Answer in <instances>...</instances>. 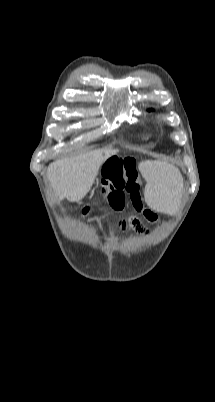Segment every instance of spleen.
Wrapping results in <instances>:
<instances>
[{"label": "spleen", "instance_id": "1", "mask_svg": "<svg viewBox=\"0 0 215 402\" xmlns=\"http://www.w3.org/2000/svg\"><path fill=\"white\" fill-rule=\"evenodd\" d=\"M139 169L147 181L145 196L147 208L172 214L177 208V194L181 186V176L168 164L161 162H142Z\"/></svg>", "mask_w": 215, "mask_h": 402}]
</instances>
